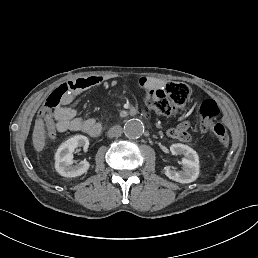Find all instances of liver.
Listing matches in <instances>:
<instances>
[{
  "instance_id": "1",
  "label": "liver",
  "mask_w": 258,
  "mask_h": 258,
  "mask_svg": "<svg viewBox=\"0 0 258 258\" xmlns=\"http://www.w3.org/2000/svg\"><path fill=\"white\" fill-rule=\"evenodd\" d=\"M45 130L42 120H36L34 132H33V143L37 151H41L45 145Z\"/></svg>"
}]
</instances>
